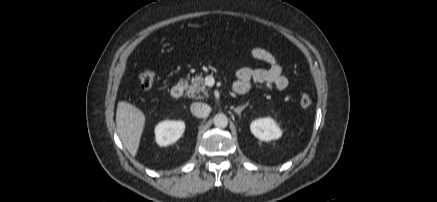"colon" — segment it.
<instances>
[{
    "label": "colon",
    "instance_id": "obj_1",
    "mask_svg": "<svg viewBox=\"0 0 437 202\" xmlns=\"http://www.w3.org/2000/svg\"><path fill=\"white\" fill-rule=\"evenodd\" d=\"M156 73L150 69H144L139 74L141 88L144 90L150 89L156 82ZM299 105L302 108H307L311 105V98L307 94H301L299 97Z\"/></svg>",
    "mask_w": 437,
    "mask_h": 202
}]
</instances>
